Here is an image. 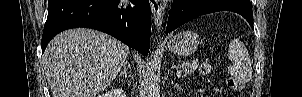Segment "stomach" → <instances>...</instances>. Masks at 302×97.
<instances>
[{
  "instance_id": "obj_1",
  "label": "stomach",
  "mask_w": 302,
  "mask_h": 97,
  "mask_svg": "<svg viewBox=\"0 0 302 97\" xmlns=\"http://www.w3.org/2000/svg\"><path fill=\"white\" fill-rule=\"evenodd\" d=\"M200 45V37L192 31H182L173 36L167 44L168 49L180 56L192 55Z\"/></svg>"
}]
</instances>
